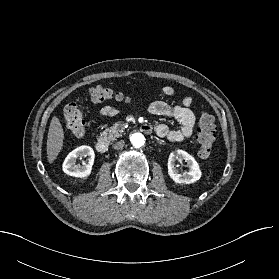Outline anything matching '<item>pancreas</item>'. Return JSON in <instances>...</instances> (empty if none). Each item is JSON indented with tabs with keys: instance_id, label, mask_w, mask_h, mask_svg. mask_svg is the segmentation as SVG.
Wrapping results in <instances>:
<instances>
[{
	"instance_id": "pancreas-1",
	"label": "pancreas",
	"mask_w": 279,
	"mask_h": 279,
	"mask_svg": "<svg viewBox=\"0 0 279 279\" xmlns=\"http://www.w3.org/2000/svg\"><path fill=\"white\" fill-rule=\"evenodd\" d=\"M123 131V124L115 123L110 128L105 129L100 135L107 141H114L121 136Z\"/></svg>"
}]
</instances>
